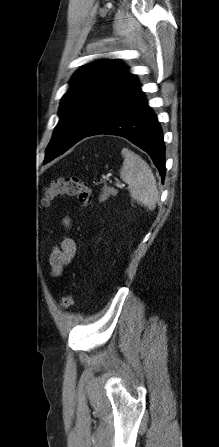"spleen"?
<instances>
[{
	"label": "spleen",
	"mask_w": 219,
	"mask_h": 447,
	"mask_svg": "<svg viewBox=\"0 0 219 447\" xmlns=\"http://www.w3.org/2000/svg\"><path fill=\"white\" fill-rule=\"evenodd\" d=\"M121 154L124 161L120 177L129 185L131 197L148 210H154L158 201V189L152 170L131 150L123 148Z\"/></svg>",
	"instance_id": "spleen-1"
}]
</instances>
